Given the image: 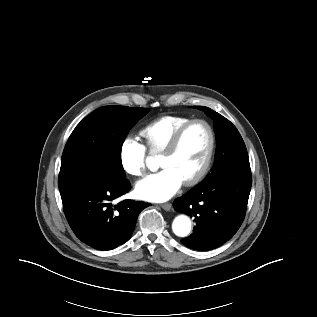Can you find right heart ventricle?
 Instances as JSON below:
<instances>
[{"instance_id": "obj_1", "label": "right heart ventricle", "mask_w": 317, "mask_h": 317, "mask_svg": "<svg viewBox=\"0 0 317 317\" xmlns=\"http://www.w3.org/2000/svg\"><path fill=\"white\" fill-rule=\"evenodd\" d=\"M188 121L190 119L184 116H162L146 124L140 136L150 152L161 153L175 132Z\"/></svg>"}]
</instances>
